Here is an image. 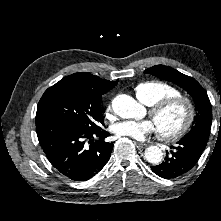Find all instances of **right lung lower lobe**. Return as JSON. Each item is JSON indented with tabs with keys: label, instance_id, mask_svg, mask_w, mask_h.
Listing matches in <instances>:
<instances>
[{
	"label": "right lung lower lobe",
	"instance_id": "right-lung-lower-lobe-1",
	"mask_svg": "<svg viewBox=\"0 0 221 221\" xmlns=\"http://www.w3.org/2000/svg\"><path fill=\"white\" fill-rule=\"evenodd\" d=\"M36 132L49 162L64 176L85 181L108 162L113 143L105 141V130L88 132L64 119L36 113Z\"/></svg>",
	"mask_w": 221,
	"mask_h": 221
}]
</instances>
